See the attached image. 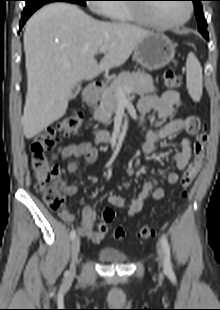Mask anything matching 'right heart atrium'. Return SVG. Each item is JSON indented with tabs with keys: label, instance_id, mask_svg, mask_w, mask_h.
<instances>
[{
	"label": "right heart atrium",
	"instance_id": "d8ad5b80",
	"mask_svg": "<svg viewBox=\"0 0 220 310\" xmlns=\"http://www.w3.org/2000/svg\"><path fill=\"white\" fill-rule=\"evenodd\" d=\"M92 1H103V0H92ZM106 7L104 4H94L93 9L102 13L103 9ZM103 14V13H102Z\"/></svg>",
	"mask_w": 220,
	"mask_h": 310
}]
</instances>
